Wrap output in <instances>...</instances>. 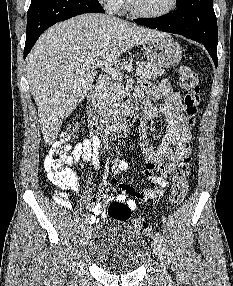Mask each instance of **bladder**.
<instances>
[{
  "instance_id": "bladder-1",
  "label": "bladder",
  "mask_w": 233,
  "mask_h": 286,
  "mask_svg": "<svg viewBox=\"0 0 233 286\" xmlns=\"http://www.w3.org/2000/svg\"><path fill=\"white\" fill-rule=\"evenodd\" d=\"M88 252L92 262L103 271L129 273L147 261L150 247L140 233L128 224L115 220L98 227Z\"/></svg>"
}]
</instances>
